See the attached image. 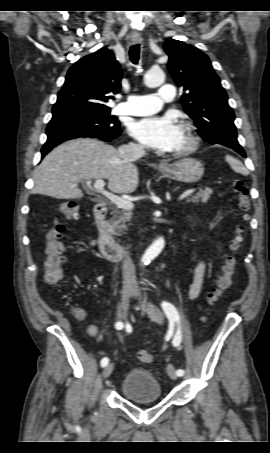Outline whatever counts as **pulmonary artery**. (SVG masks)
Segmentation results:
<instances>
[{
	"label": "pulmonary artery",
	"mask_w": 270,
	"mask_h": 453,
	"mask_svg": "<svg viewBox=\"0 0 270 453\" xmlns=\"http://www.w3.org/2000/svg\"><path fill=\"white\" fill-rule=\"evenodd\" d=\"M174 95L175 89L172 85H163L157 94L128 96L126 102L119 104L116 110L126 115L152 114L161 108L163 102L172 101Z\"/></svg>",
	"instance_id": "pulmonary-artery-1"
}]
</instances>
